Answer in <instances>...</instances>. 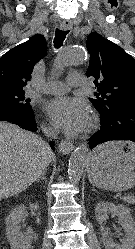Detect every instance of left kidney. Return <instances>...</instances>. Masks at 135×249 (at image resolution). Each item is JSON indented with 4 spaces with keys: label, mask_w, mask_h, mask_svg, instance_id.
<instances>
[{
    "label": "left kidney",
    "mask_w": 135,
    "mask_h": 249,
    "mask_svg": "<svg viewBox=\"0 0 135 249\" xmlns=\"http://www.w3.org/2000/svg\"><path fill=\"white\" fill-rule=\"evenodd\" d=\"M110 213L118 217L119 223L124 228L125 237L121 240V244L115 243L104 228L103 224ZM95 216L101 225L102 243L105 249H133L135 247V221L126 206L101 201L96 205Z\"/></svg>",
    "instance_id": "1"
}]
</instances>
